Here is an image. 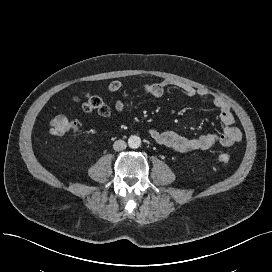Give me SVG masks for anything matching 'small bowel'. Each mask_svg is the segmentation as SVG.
I'll use <instances>...</instances> for the list:
<instances>
[{
    "label": "small bowel",
    "instance_id": "c3829d8e",
    "mask_svg": "<svg viewBox=\"0 0 272 272\" xmlns=\"http://www.w3.org/2000/svg\"><path fill=\"white\" fill-rule=\"evenodd\" d=\"M169 87L181 90L191 99L210 96L207 90L196 89L189 84L172 79H165L160 82H147L142 84L140 88L146 95L159 98ZM122 88L123 83L115 80L109 84L108 91L117 92ZM212 103L219 110V119L223 126L222 133L211 132L196 138H187L173 131L160 132L154 128L148 129V133L159 145L177 154H186L195 150H206L216 144L223 147H230L242 139V132L235 126V117L230 105L224 98L214 96ZM115 108L118 112H123L125 109L123 102L120 100L116 102Z\"/></svg>",
    "mask_w": 272,
    "mask_h": 272
}]
</instances>
